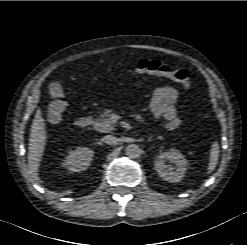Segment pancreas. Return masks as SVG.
I'll return each instance as SVG.
<instances>
[{
	"mask_svg": "<svg viewBox=\"0 0 247 245\" xmlns=\"http://www.w3.org/2000/svg\"><path fill=\"white\" fill-rule=\"evenodd\" d=\"M111 115H112L111 109H105L104 111H102L101 114L96 119H94V124H93L94 129H96L99 132H104V133L112 131L113 130V128H112L113 122L110 119ZM132 116L136 120H138L142 123L145 122V120H143L141 114H139L137 112H133Z\"/></svg>",
	"mask_w": 247,
	"mask_h": 245,
	"instance_id": "cf45deb5",
	"label": "pancreas"
}]
</instances>
